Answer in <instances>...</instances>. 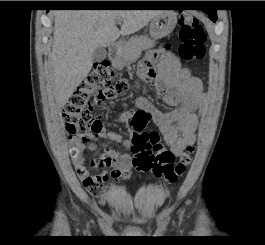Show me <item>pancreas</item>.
Listing matches in <instances>:
<instances>
[{"instance_id": "cf45deb5", "label": "pancreas", "mask_w": 265, "mask_h": 245, "mask_svg": "<svg viewBox=\"0 0 265 245\" xmlns=\"http://www.w3.org/2000/svg\"><path fill=\"white\" fill-rule=\"evenodd\" d=\"M154 40L147 36L131 38L125 45L123 54L116 58L113 66L117 69H122L127 64L135 62L141 55V51L154 46Z\"/></svg>"}]
</instances>
